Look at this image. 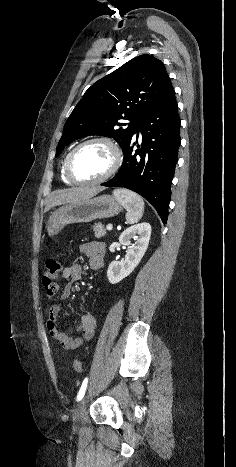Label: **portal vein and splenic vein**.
I'll return each instance as SVG.
<instances>
[{
	"label": "portal vein and splenic vein",
	"mask_w": 236,
	"mask_h": 467,
	"mask_svg": "<svg viewBox=\"0 0 236 467\" xmlns=\"http://www.w3.org/2000/svg\"><path fill=\"white\" fill-rule=\"evenodd\" d=\"M106 228H107V230H112L113 226H112V224H108Z\"/></svg>",
	"instance_id": "18ae733b"
}]
</instances>
